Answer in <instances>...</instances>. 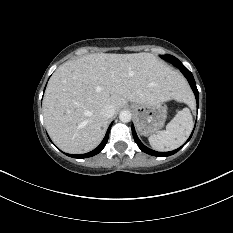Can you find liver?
<instances>
[{
    "label": "liver",
    "instance_id": "obj_1",
    "mask_svg": "<svg viewBox=\"0 0 233 233\" xmlns=\"http://www.w3.org/2000/svg\"><path fill=\"white\" fill-rule=\"evenodd\" d=\"M190 100L184 78L151 53H94L63 63L51 77L43 101L46 129L53 142L72 154L86 153L102 141L108 118L128 101L153 104Z\"/></svg>",
    "mask_w": 233,
    "mask_h": 233
}]
</instances>
